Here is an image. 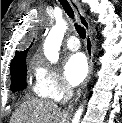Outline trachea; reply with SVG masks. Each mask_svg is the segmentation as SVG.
Returning <instances> with one entry per match:
<instances>
[{
  "instance_id": "obj_1",
  "label": "trachea",
  "mask_w": 122,
  "mask_h": 123,
  "mask_svg": "<svg viewBox=\"0 0 122 123\" xmlns=\"http://www.w3.org/2000/svg\"><path fill=\"white\" fill-rule=\"evenodd\" d=\"M59 2L62 5L65 12L67 13V15L74 20V12H73L70 4L68 3V1L67 0H59ZM75 28H76L77 33L79 34V36L82 39H85V37H86L85 29L82 26L78 25L77 23H75Z\"/></svg>"
}]
</instances>
